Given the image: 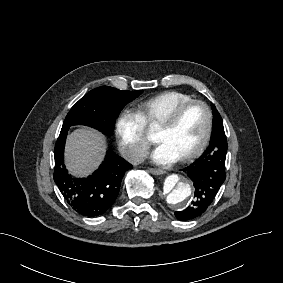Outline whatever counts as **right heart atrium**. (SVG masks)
I'll list each match as a JSON object with an SVG mask.
<instances>
[{"label": "right heart atrium", "mask_w": 283, "mask_h": 283, "mask_svg": "<svg viewBox=\"0 0 283 283\" xmlns=\"http://www.w3.org/2000/svg\"><path fill=\"white\" fill-rule=\"evenodd\" d=\"M115 135L123 157L138 162L149 146L144 121L130 108H125L115 123Z\"/></svg>", "instance_id": "d8ad5b80"}]
</instances>
